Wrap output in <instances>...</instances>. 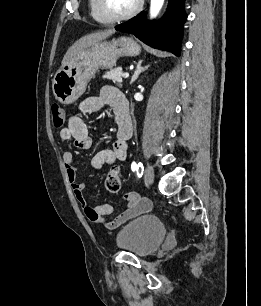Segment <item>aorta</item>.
I'll list each match as a JSON object with an SVG mask.
<instances>
[{
    "label": "aorta",
    "mask_w": 261,
    "mask_h": 306,
    "mask_svg": "<svg viewBox=\"0 0 261 306\" xmlns=\"http://www.w3.org/2000/svg\"><path fill=\"white\" fill-rule=\"evenodd\" d=\"M163 4H164V0H151V3H150L151 18H155L158 15Z\"/></svg>",
    "instance_id": "aorta-1"
}]
</instances>
